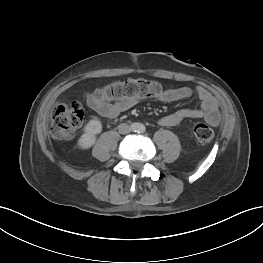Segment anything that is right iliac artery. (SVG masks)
<instances>
[{
  "mask_svg": "<svg viewBox=\"0 0 263 263\" xmlns=\"http://www.w3.org/2000/svg\"><path fill=\"white\" fill-rule=\"evenodd\" d=\"M137 128H138L137 124H135V123H134V124H132V130H133V131H136V130H137Z\"/></svg>",
  "mask_w": 263,
  "mask_h": 263,
  "instance_id": "obj_1",
  "label": "right iliac artery"
}]
</instances>
